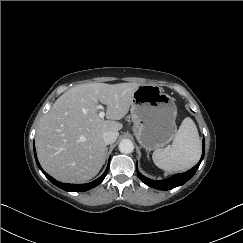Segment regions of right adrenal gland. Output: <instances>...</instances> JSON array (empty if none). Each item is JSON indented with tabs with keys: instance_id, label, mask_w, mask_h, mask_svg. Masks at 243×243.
Returning <instances> with one entry per match:
<instances>
[{
	"instance_id": "obj_1",
	"label": "right adrenal gland",
	"mask_w": 243,
	"mask_h": 243,
	"mask_svg": "<svg viewBox=\"0 0 243 243\" xmlns=\"http://www.w3.org/2000/svg\"><path fill=\"white\" fill-rule=\"evenodd\" d=\"M107 151H108V147H106V149H105V154L107 153Z\"/></svg>"
}]
</instances>
